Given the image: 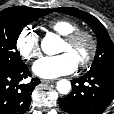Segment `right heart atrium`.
I'll return each mask as SVG.
<instances>
[{
	"instance_id": "obj_1",
	"label": "right heart atrium",
	"mask_w": 114,
	"mask_h": 114,
	"mask_svg": "<svg viewBox=\"0 0 114 114\" xmlns=\"http://www.w3.org/2000/svg\"><path fill=\"white\" fill-rule=\"evenodd\" d=\"M16 49L26 61H30L40 54V38L37 31L31 27H24L16 38Z\"/></svg>"
}]
</instances>
